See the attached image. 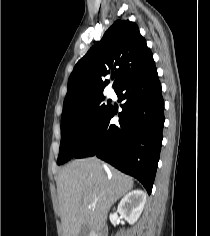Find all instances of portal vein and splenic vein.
<instances>
[{"instance_id":"portal-vein-and-splenic-vein-1","label":"portal vein and splenic vein","mask_w":210,"mask_h":236,"mask_svg":"<svg viewBox=\"0 0 210 236\" xmlns=\"http://www.w3.org/2000/svg\"><path fill=\"white\" fill-rule=\"evenodd\" d=\"M95 203H92L91 205H90V207H92V208H95Z\"/></svg>"}]
</instances>
